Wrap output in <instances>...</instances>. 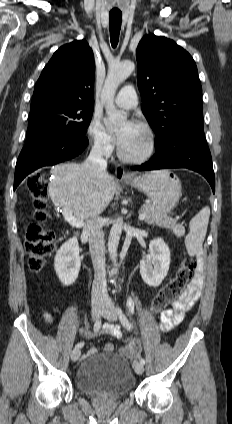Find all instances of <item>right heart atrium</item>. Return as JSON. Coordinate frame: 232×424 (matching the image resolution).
Segmentation results:
<instances>
[{
  "mask_svg": "<svg viewBox=\"0 0 232 424\" xmlns=\"http://www.w3.org/2000/svg\"><path fill=\"white\" fill-rule=\"evenodd\" d=\"M86 135L91 148L102 156H109L113 151V139L102 121L93 116L87 127Z\"/></svg>",
  "mask_w": 232,
  "mask_h": 424,
  "instance_id": "d8ad5b80",
  "label": "right heart atrium"
}]
</instances>
